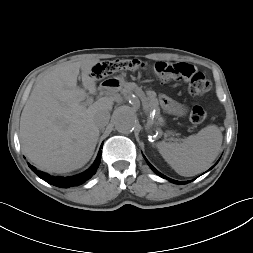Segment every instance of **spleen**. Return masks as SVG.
<instances>
[{
  "instance_id": "spleen-1",
  "label": "spleen",
  "mask_w": 253,
  "mask_h": 253,
  "mask_svg": "<svg viewBox=\"0 0 253 253\" xmlns=\"http://www.w3.org/2000/svg\"><path fill=\"white\" fill-rule=\"evenodd\" d=\"M223 136L216 125H208L182 142H159L165 161L181 176H194L206 170L218 156Z\"/></svg>"
}]
</instances>
